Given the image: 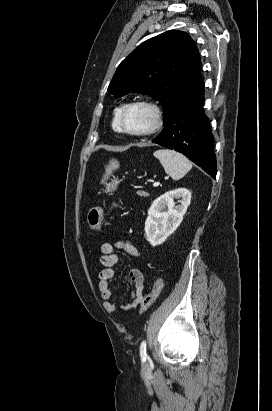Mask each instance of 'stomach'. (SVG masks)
Instances as JSON below:
<instances>
[{"mask_svg":"<svg viewBox=\"0 0 272 411\" xmlns=\"http://www.w3.org/2000/svg\"><path fill=\"white\" fill-rule=\"evenodd\" d=\"M120 182L118 178H114L111 183L107 184V193L112 194L117 189V185Z\"/></svg>","mask_w":272,"mask_h":411,"instance_id":"0dacf381","label":"stomach"}]
</instances>
